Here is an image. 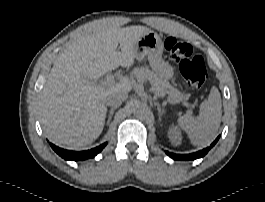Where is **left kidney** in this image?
<instances>
[{
    "mask_svg": "<svg viewBox=\"0 0 265 202\" xmlns=\"http://www.w3.org/2000/svg\"><path fill=\"white\" fill-rule=\"evenodd\" d=\"M168 137L173 145L177 146L181 144L182 140L181 132L176 126L172 125L169 127Z\"/></svg>",
    "mask_w": 265,
    "mask_h": 202,
    "instance_id": "obj_1",
    "label": "left kidney"
}]
</instances>
